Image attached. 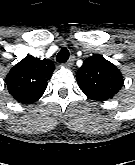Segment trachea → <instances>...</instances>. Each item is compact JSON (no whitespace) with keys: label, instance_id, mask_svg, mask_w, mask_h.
Listing matches in <instances>:
<instances>
[{"label":"trachea","instance_id":"1","mask_svg":"<svg viewBox=\"0 0 135 165\" xmlns=\"http://www.w3.org/2000/svg\"><path fill=\"white\" fill-rule=\"evenodd\" d=\"M69 58V51L66 47H63L57 54L56 60L60 63H65Z\"/></svg>","mask_w":135,"mask_h":165}]
</instances>
